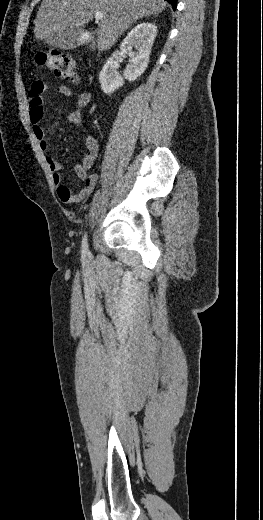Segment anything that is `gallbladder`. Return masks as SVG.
<instances>
[{
	"instance_id": "gallbladder-1",
	"label": "gallbladder",
	"mask_w": 263,
	"mask_h": 520,
	"mask_svg": "<svg viewBox=\"0 0 263 520\" xmlns=\"http://www.w3.org/2000/svg\"><path fill=\"white\" fill-rule=\"evenodd\" d=\"M83 34L82 27L75 28L72 33H56L51 37L49 45L63 50H72L80 46Z\"/></svg>"
}]
</instances>
